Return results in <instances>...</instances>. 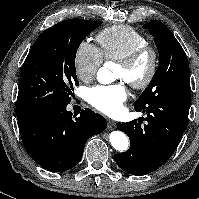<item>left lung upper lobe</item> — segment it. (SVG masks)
<instances>
[{"label": "left lung upper lobe", "instance_id": "obj_1", "mask_svg": "<svg viewBox=\"0 0 199 199\" xmlns=\"http://www.w3.org/2000/svg\"><path fill=\"white\" fill-rule=\"evenodd\" d=\"M154 37L160 63L149 86L135 101L136 111H148L163 102L191 103L190 71L186 54L163 23L152 20L143 26Z\"/></svg>", "mask_w": 199, "mask_h": 199}]
</instances>
